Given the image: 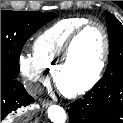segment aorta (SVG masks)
I'll list each match as a JSON object with an SVG mask.
<instances>
[{
  "instance_id": "762f6f07",
  "label": "aorta",
  "mask_w": 123,
  "mask_h": 123,
  "mask_svg": "<svg viewBox=\"0 0 123 123\" xmlns=\"http://www.w3.org/2000/svg\"><path fill=\"white\" fill-rule=\"evenodd\" d=\"M49 119L53 123H65L66 122V112L59 105H51L47 111Z\"/></svg>"
}]
</instances>
